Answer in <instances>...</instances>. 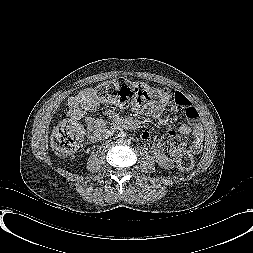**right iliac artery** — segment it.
Segmentation results:
<instances>
[{
	"mask_svg": "<svg viewBox=\"0 0 253 253\" xmlns=\"http://www.w3.org/2000/svg\"><path fill=\"white\" fill-rule=\"evenodd\" d=\"M124 136H125V134H122V135L120 136V137H122V138H119L118 141L121 142V141L123 140V137H124Z\"/></svg>",
	"mask_w": 253,
	"mask_h": 253,
	"instance_id": "right-iliac-artery-1",
	"label": "right iliac artery"
}]
</instances>
